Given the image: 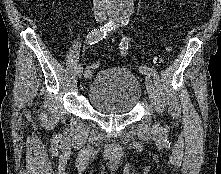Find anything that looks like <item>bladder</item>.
Returning <instances> with one entry per match:
<instances>
[{
	"label": "bladder",
	"mask_w": 221,
	"mask_h": 174,
	"mask_svg": "<svg viewBox=\"0 0 221 174\" xmlns=\"http://www.w3.org/2000/svg\"><path fill=\"white\" fill-rule=\"evenodd\" d=\"M142 96L141 84L126 68L115 66L100 70L87 90L90 105L103 114H127Z\"/></svg>",
	"instance_id": "1"
}]
</instances>
